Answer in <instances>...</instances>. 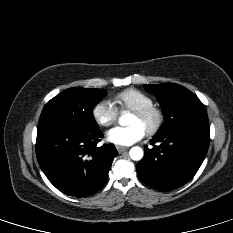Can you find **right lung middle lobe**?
<instances>
[{"label":"right lung middle lobe","mask_w":233,"mask_h":233,"mask_svg":"<svg viewBox=\"0 0 233 233\" xmlns=\"http://www.w3.org/2000/svg\"><path fill=\"white\" fill-rule=\"evenodd\" d=\"M106 94V91L94 88L66 89L45 105L38 126L63 123L87 129H98L93 116V108Z\"/></svg>","instance_id":"obj_1"}]
</instances>
